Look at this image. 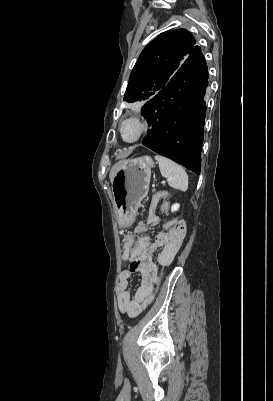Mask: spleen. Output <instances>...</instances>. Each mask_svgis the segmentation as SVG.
<instances>
[{
	"instance_id": "1",
	"label": "spleen",
	"mask_w": 273,
	"mask_h": 401,
	"mask_svg": "<svg viewBox=\"0 0 273 401\" xmlns=\"http://www.w3.org/2000/svg\"><path fill=\"white\" fill-rule=\"evenodd\" d=\"M156 160L159 162V168L162 176L169 178L168 184L173 186V188H179V190H187L188 188V174L185 172L182 166L170 160V158H165V156H159L156 154Z\"/></svg>"
}]
</instances>
